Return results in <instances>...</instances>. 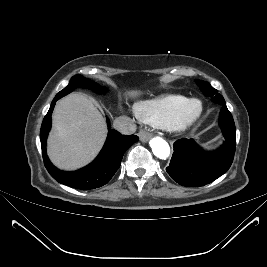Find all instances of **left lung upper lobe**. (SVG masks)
<instances>
[{
  "instance_id": "5c2ea615",
  "label": "left lung upper lobe",
  "mask_w": 267,
  "mask_h": 267,
  "mask_svg": "<svg viewBox=\"0 0 267 267\" xmlns=\"http://www.w3.org/2000/svg\"><path fill=\"white\" fill-rule=\"evenodd\" d=\"M197 85L200 87L205 96L211 97L212 101L222 106H226L224 98L221 94L217 93V90L214 89L208 82L196 80Z\"/></svg>"
}]
</instances>
